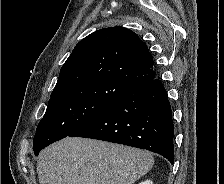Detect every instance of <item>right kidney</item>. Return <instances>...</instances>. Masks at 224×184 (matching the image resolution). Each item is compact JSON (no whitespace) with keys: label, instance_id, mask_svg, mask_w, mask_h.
Here are the masks:
<instances>
[{"label":"right kidney","instance_id":"1","mask_svg":"<svg viewBox=\"0 0 224 184\" xmlns=\"http://www.w3.org/2000/svg\"><path fill=\"white\" fill-rule=\"evenodd\" d=\"M139 184H153V182L151 180H146V181H143Z\"/></svg>","mask_w":224,"mask_h":184}]
</instances>
